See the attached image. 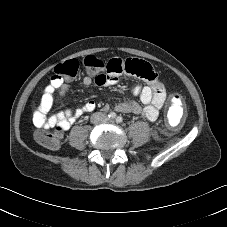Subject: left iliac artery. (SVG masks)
<instances>
[{"label":"left iliac artery","instance_id":"obj_1","mask_svg":"<svg viewBox=\"0 0 227 227\" xmlns=\"http://www.w3.org/2000/svg\"><path fill=\"white\" fill-rule=\"evenodd\" d=\"M116 122H117V123H122V122H123V118H122L121 116H118V117L116 118Z\"/></svg>","mask_w":227,"mask_h":227}]
</instances>
